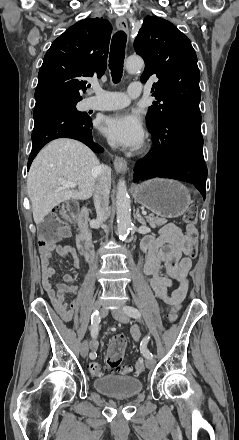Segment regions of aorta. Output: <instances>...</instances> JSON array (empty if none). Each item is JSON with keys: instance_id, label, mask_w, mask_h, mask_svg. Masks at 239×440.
Here are the masks:
<instances>
[{"instance_id": "aorta-1", "label": "aorta", "mask_w": 239, "mask_h": 440, "mask_svg": "<svg viewBox=\"0 0 239 440\" xmlns=\"http://www.w3.org/2000/svg\"><path fill=\"white\" fill-rule=\"evenodd\" d=\"M144 62L139 56H130L126 62L128 72H137L143 68ZM117 232L119 238H126L131 222V206L124 178L119 180L116 194Z\"/></svg>"}]
</instances>
